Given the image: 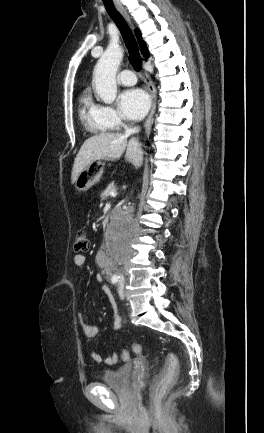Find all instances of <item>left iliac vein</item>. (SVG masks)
<instances>
[{
  "instance_id": "obj_1",
  "label": "left iliac vein",
  "mask_w": 264,
  "mask_h": 433,
  "mask_svg": "<svg viewBox=\"0 0 264 433\" xmlns=\"http://www.w3.org/2000/svg\"><path fill=\"white\" fill-rule=\"evenodd\" d=\"M124 285H125V280L121 279L118 286V293L121 299H124Z\"/></svg>"
}]
</instances>
